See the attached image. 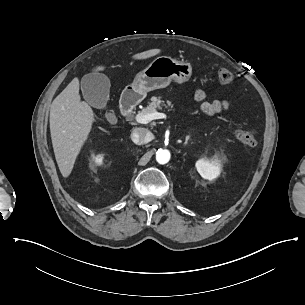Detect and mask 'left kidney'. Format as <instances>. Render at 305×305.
Wrapping results in <instances>:
<instances>
[{"mask_svg": "<svg viewBox=\"0 0 305 305\" xmlns=\"http://www.w3.org/2000/svg\"><path fill=\"white\" fill-rule=\"evenodd\" d=\"M196 167L201 176L209 180L215 178L218 175L220 168L219 165L213 167L209 162H205V159L198 161Z\"/></svg>", "mask_w": 305, "mask_h": 305, "instance_id": "5707ae66", "label": "left kidney"}]
</instances>
